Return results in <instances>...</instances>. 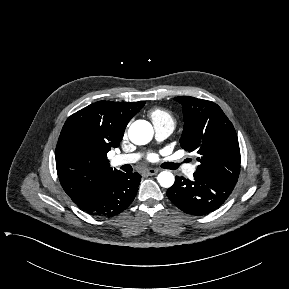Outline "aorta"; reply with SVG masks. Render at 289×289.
Listing matches in <instances>:
<instances>
[{
	"mask_svg": "<svg viewBox=\"0 0 289 289\" xmlns=\"http://www.w3.org/2000/svg\"><path fill=\"white\" fill-rule=\"evenodd\" d=\"M153 127L145 120H137L133 122L128 130L130 141L136 145H145L153 138ZM157 181L160 186L170 188L175 181L174 175L169 171H162L157 176Z\"/></svg>",
	"mask_w": 289,
	"mask_h": 289,
	"instance_id": "762f6f07",
	"label": "aorta"
}]
</instances>
